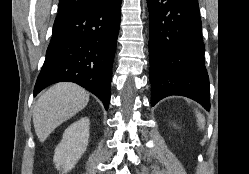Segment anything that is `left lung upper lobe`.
<instances>
[{"mask_svg": "<svg viewBox=\"0 0 249 174\" xmlns=\"http://www.w3.org/2000/svg\"><path fill=\"white\" fill-rule=\"evenodd\" d=\"M190 2H192V3H194V4H196V5H198V1L197 0H189Z\"/></svg>", "mask_w": 249, "mask_h": 174, "instance_id": "5c2ea615", "label": "left lung upper lobe"}]
</instances>
